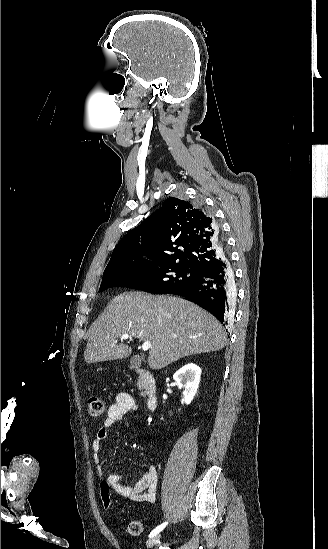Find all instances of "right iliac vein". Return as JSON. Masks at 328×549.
Masks as SVG:
<instances>
[{"instance_id":"1","label":"right iliac vein","mask_w":328,"mask_h":549,"mask_svg":"<svg viewBox=\"0 0 328 549\" xmlns=\"http://www.w3.org/2000/svg\"><path fill=\"white\" fill-rule=\"evenodd\" d=\"M159 539H160V535H154L153 537L148 539L146 542L147 549H151L155 544L158 543Z\"/></svg>"}]
</instances>
